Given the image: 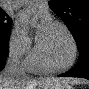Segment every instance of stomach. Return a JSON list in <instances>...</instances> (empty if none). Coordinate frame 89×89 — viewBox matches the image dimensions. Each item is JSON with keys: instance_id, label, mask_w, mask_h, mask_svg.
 Masks as SVG:
<instances>
[{"instance_id": "1", "label": "stomach", "mask_w": 89, "mask_h": 89, "mask_svg": "<svg viewBox=\"0 0 89 89\" xmlns=\"http://www.w3.org/2000/svg\"><path fill=\"white\" fill-rule=\"evenodd\" d=\"M42 89H46V88H42ZM47 89H73V87L70 85H58L56 87H49Z\"/></svg>"}]
</instances>
